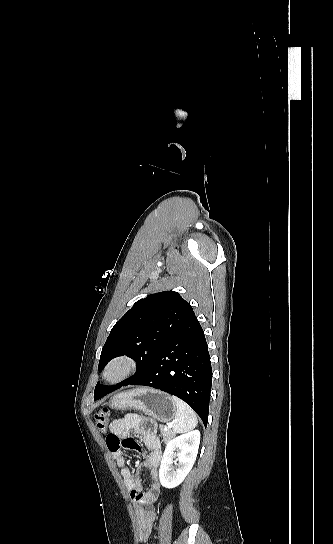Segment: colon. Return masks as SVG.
Here are the masks:
<instances>
[{"label": "colon", "mask_w": 333, "mask_h": 544, "mask_svg": "<svg viewBox=\"0 0 333 544\" xmlns=\"http://www.w3.org/2000/svg\"><path fill=\"white\" fill-rule=\"evenodd\" d=\"M109 417L110 411L106 408L101 409L95 414V422L100 431L105 432L107 430Z\"/></svg>", "instance_id": "1"}]
</instances>
